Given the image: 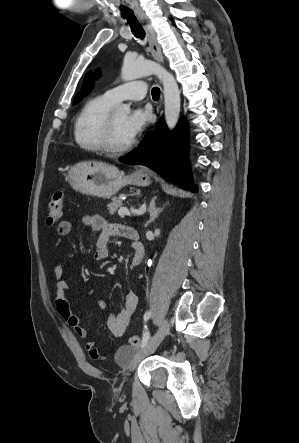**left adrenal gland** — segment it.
Masks as SVG:
<instances>
[{
  "mask_svg": "<svg viewBox=\"0 0 299 443\" xmlns=\"http://www.w3.org/2000/svg\"><path fill=\"white\" fill-rule=\"evenodd\" d=\"M155 200H156V198H154L149 204L148 212H149L150 218L145 224L146 227L150 223H152L159 216V214L164 210L165 206H163L162 208H156Z\"/></svg>",
  "mask_w": 299,
  "mask_h": 443,
  "instance_id": "obj_1",
  "label": "left adrenal gland"
}]
</instances>
